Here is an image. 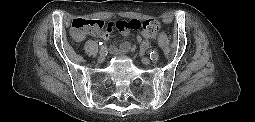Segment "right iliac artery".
Instances as JSON below:
<instances>
[{"label": "right iliac artery", "instance_id": "right-iliac-artery-1", "mask_svg": "<svg viewBox=\"0 0 255 122\" xmlns=\"http://www.w3.org/2000/svg\"><path fill=\"white\" fill-rule=\"evenodd\" d=\"M99 45H101V50L106 52V46H105V45H103V43H102V42H100V43H99Z\"/></svg>", "mask_w": 255, "mask_h": 122}]
</instances>
